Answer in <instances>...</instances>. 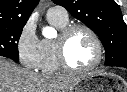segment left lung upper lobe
Returning a JSON list of instances; mask_svg holds the SVG:
<instances>
[{
	"label": "left lung upper lobe",
	"mask_w": 127,
	"mask_h": 92,
	"mask_svg": "<svg viewBox=\"0 0 127 92\" xmlns=\"http://www.w3.org/2000/svg\"><path fill=\"white\" fill-rule=\"evenodd\" d=\"M91 28L100 38L106 61L127 55V26L114 0H53Z\"/></svg>",
	"instance_id": "5c2ea615"
}]
</instances>
